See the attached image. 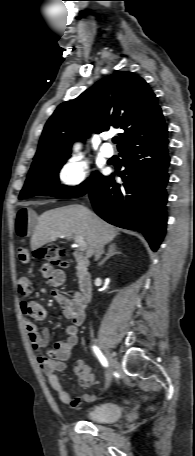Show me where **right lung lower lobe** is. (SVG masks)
Returning <instances> with one entry per match:
<instances>
[{
    "instance_id": "right-lung-lower-lobe-1",
    "label": "right lung lower lobe",
    "mask_w": 195,
    "mask_h": 456,
    "mask_svg": "<svg viewBox=\"0 0 195 456\" xmlns=\"http://www.w3.org/2000/svg\"><path fill=\"white\" fill-rule=\"evenodd\" d=\"M120 156L126 167L119 174L124 183L116 184L113 175L103 176L88 191L94 210L113 225L140 231L156 251L167 222L165 186L170 161L167 134L157 138L139 137L125 144Z\"/></svg>"
}]
</instances>
